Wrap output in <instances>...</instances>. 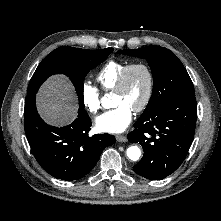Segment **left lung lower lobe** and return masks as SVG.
<instances>
[{
    "label": "left lung lower lobe",
    "mask_w": 221,
    "mask_h": 221,
    "mask_svg": "<svg viewBox=\"0 0 221 221\" xmlns=\"http://www.w3.org/2000/svg\"><path fill=\"white\" fill-rule=\"evenodd\" d=\"M197 118L196 98L184 97L154 107L140 116L127 135L139 143L144 156L133 169L149 180L172 174L184 161L192 144Z\"/></svg>",
    "instance_id": "0a47b994"
}]
</instances>
